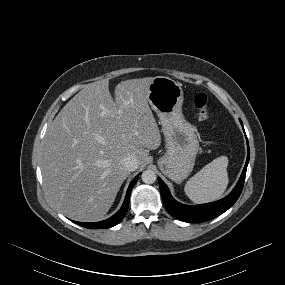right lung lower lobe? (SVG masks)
<instances>
[{"instance_id":"obj_1","label":"right lung lower lobe","mask_w":285,"mask_h":285,"mask_svg":"<svg viewBox=\"0 0 285 285\" xmlns=\"http://www.w3.org/2000/svg\"><path fill=\"white\" fill-rule=\"evenodd\" d=\"M138 178L139 177L136 176L134 178V180L131 182V184L127 190V193H126L124 203H123L121 209L115 215H113L109 219H106V220L101 221V222H93V223H83V222H76V221H74V222L76 224L82 226V227L91 228V229L110 228V227L117 225L126 215V212L128 210V206H129L130 193H131L133 186L137 182Z\"/></svg>"}]
</instances>
